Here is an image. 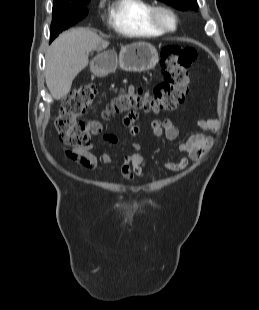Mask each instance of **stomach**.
Returning <instances> with one entry per match:
<instances>
[{"instance_id": "0dacf381", "label": "stomach", "mask_w": 259, "mask_h": 310, "mask_svg": "<svg viewBox=\"0 0 259 310\" xmlns=\"http://www.w3.org/2000/svg\"><path fill=\"white\" fill-rule=\"evenodd\" d=\"M159 60L156 48L146 42H136L121 48L119 57L114 51H104L91 62V71L97 76L113 73L117 66L128 72H143L155 67Z\"/></svg>"}]
</instances>
